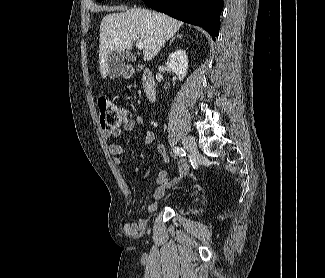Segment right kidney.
Returning a JSON list of instances; mask_svg holds the SVG:
<instances>
[{
  "mask_svg": "<svg viewBox=\"0 0 325 278\" xmlns=\"http://www.w3.org/2000/svg\"><path fill=\"white\" fill-rule=\"evenodd\" d=\"M166 65L178 76L179 80L182 81L185 78L188 69L186 52L182 49H177L176 51L172 52L168 56Z\"/></svg>",
  "mask_w": 325,
  "mask_h": 278,
  "instance_id": "right-kidney-1",
  "label": "right kidney"
}]
</instances>
